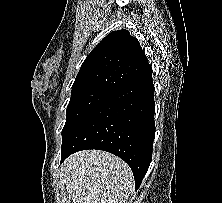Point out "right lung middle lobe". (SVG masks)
I'll return each mask as SVG.
<instances>
[{"label":"right lung middle lobe","mask_w":222,"mask_h":203,"mask_svg":"<svg viewBox=\"0 0 222 203\" xmlns=\"http://www.w3.org/2000/svg\"><path fill=\"white\" fill-rule=\"evenodd\" d=\"M112 93L98 88L72 91L71 99L67 106V118L62 130V137L86 115L106 101Z\"/></svg>","instance_id":"dd1d6c3e"}]
</instances>
